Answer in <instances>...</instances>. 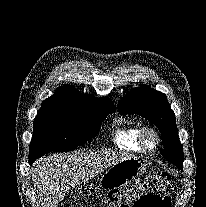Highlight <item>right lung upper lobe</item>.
I'll return each instance as SVG.
<instances>
[{"instance_id": "cb5924a9", "label": "right lung upper lobe", "mask_w": 206, "mask_h": 207, "mask_svg": "<svg viewBox=\"0 0 206 207\" xmlns=\"http://www.w3.org/2000/svg\"><path fill=\"white\" fill-rule=\"evenodd\" d=\"M42 106H62L83 110L114 108L109 98H93L88 94H80L72 85L60 86L53 96L43 101Z\"/></svg>"}]
</instances>
